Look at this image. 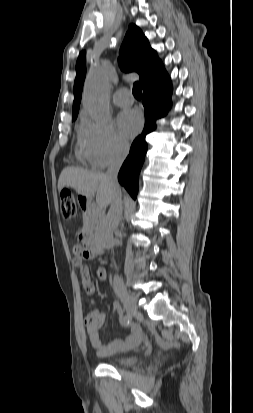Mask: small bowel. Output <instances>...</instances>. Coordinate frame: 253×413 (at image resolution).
I'll list each match as a JSON object with an SVG mask.
<instances>
[{"mask_svg": "<svg viewBox=\"0 0 253 413\" xmlns=\"http://www.w3.org/2000/svg\"><path fill=\"white\" fill-rule=\"evenodd\" d=\"M75 258L73 259V266L81 275L82 284L88 294H93L95 286L91 281L90 271L85 261L92 258L84 248L80 245H76L73 249ZM96 275L100 281H104L107 277V271L105 267L99 266L96 270ZM116 312L120 313L121 309L118 304L114 305ZM105 316L98 310L89 312L84 319L89 342L95 352L100 356H108L119 352H124L136 347L142 340L143 331L137 326H131L130 332L124 339H113L107 343H103L99 336V331L104 324ZM121 324L127 326V324L121 319Z\"/></svg>", "mask_w": 253, "mask_h": 413, "instance_id": "c3829d8e", "label": "small bowel"}]
</instances>
